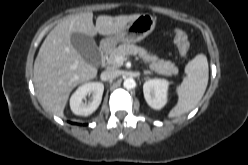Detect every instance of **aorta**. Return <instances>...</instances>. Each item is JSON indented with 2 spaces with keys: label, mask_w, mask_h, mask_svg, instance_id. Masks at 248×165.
I'll list each match as a JSON object with an SVG mask.
<instances>
[{
  "label": "aorta",
  "mask_w": 248,
  "mask_h": 165,
  "mask_svg": "<svg viewBox=\"0 0 248 165\" xmlns=\"http://www.w3.org/2000/svg\"><path fill=\"white\" fill-rule=\"evenodd\" d=\"M135 80L133 78H126L123 82V85L126 89H132L135 87Z\"/></svg>",
  "instance_id": "aorta-1"
}]
</instances>
